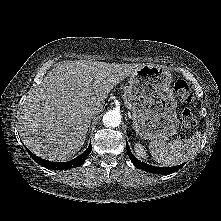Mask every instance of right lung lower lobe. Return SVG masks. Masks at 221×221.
<instances>
[{
    "label": "right lung lower lobe",
    "mask_w": 221,
    "mask_h": 221,
    "mask_svg": "<svg viewBox=\"0 0 221 221\" xmlns=\"http://www.w3.org/2000/svg\"><path fill=\"white\" fill-rule=\"evenodd\" d=\"M91 149L92 148L90 144L87 150L83 154L79 155L78 157H76L75 159L69 162H61V163L51 162L45 159H41L40 157H37L32 152H30L28 149H27V152L41 166L48 168V169L60 170V169L74 168V167L82 165L85 162V159L91 153Z\"/></svg>",
    "instance_id": "98d812e1"
}]
</instances>
